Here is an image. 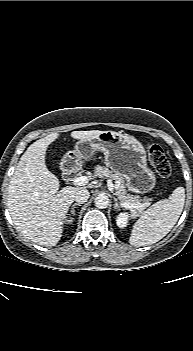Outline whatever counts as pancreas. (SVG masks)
Returning <instances> with one entry per match:
<instances>
[{
    "label": "pancreas",
    "mask_w": 193,
    "mask_h": 351,
    "mask_svg": "<svg viewBox=\"0 0 193 351\" xmlns=\"http://www.w3.org/2000/svg\"><path fill=\"white\" fill-rule=\"evenodd\" d=\"M95 176L100 178L109 177L115 182V195L122 203L138 204L140 207L135 208V213H142L143 209L148 205L149 200L143 199L144 203H141L139 196H133L127 193L126 182L124 177L120 173L113 172L105 166L95 167Z\"/></svg>",
    "instance_id": "cf45deb5"
}]
</instances>
